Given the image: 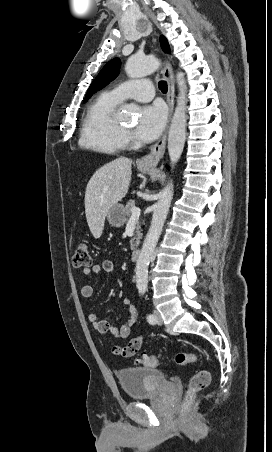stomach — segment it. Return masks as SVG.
<instances>
[{"instance_id": "0dacf381", "label": "stomach", "mask_w": 272, "mask_h": 452, "mask_svg": "<svg viewBox=\"0 0 272 452\" xmlns=\"http://www.w3.org/2000/svg\"><path fill=\"white\" fill-rule=\"evenodd\" d=\"M141 172H150L151 168L138 165ZM107 220L111 226L121 227L126 221L125 208L121 204L113 205L107 213Z\"/></svg>"}]
</instances>
